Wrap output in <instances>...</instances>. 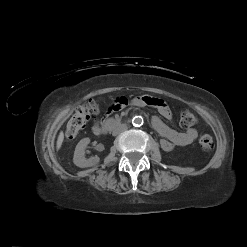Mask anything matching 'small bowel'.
Masks as SVG:
<instances>
[{
    "mask_svg": "<svg viewBox=\"0 0 247 247\" xmlns=\"http://www.w3.org/2000/svg\"><path fill=\"white\" fill-rule=\"evenodd\" d=\"M128 100L124 96H116V98L111 99V102L105 110L107 114L112 115L114 112L122 111L125 106H127ZM135 106H145L150 105L155 107L158 112L167 120H172V112L169 106L161 99L143 96L135 98L132 101ZM98 110H104L103 106L98 107ZM152 126L156 132L161 136L160 146L164 151H172L176 146H187L192 144L197 136L198 132L196 129L191 128L184 132H180L168 127L159 117L154 116L152 118ZM100 122L96 121L92 127L95 134L99 133Z\"/></svg>",
    "mask_w": 247,
    "mask_h": 247,
    "instance_id": "obj_1",
    "label": "small bowel"
}]
</instances>
